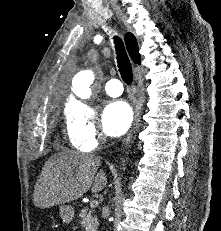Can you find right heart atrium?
Listing matches in <instances>:
<instances>
[{"label": "right heart atrium", "mask_w": 221, "mask_h": 231, "mask_svg": "<svg viewBox=\"0 0 221 231\" xmlns=\"http://www.w3.org/2000/svg\"><path fill=\"white\" fill-rule=\"evenodd\" d=\"M66 135L70 143L81 151L98 147L104 136L97 126L95 109L83 101L70 104L66 112Z\"/></svg>", "instance_id": "right-heart-atrium-1"}]
</instances>
